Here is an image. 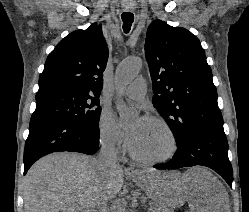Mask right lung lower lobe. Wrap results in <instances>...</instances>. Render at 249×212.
<instances>
[{
	"label": "right lung lower lobe",
	"mask_w": 249,
	"mask_h": 212,
	"mask_svg": "<svg viewBox=\"0 0 249 212\" xmlns=\"http://www.w3.org/2000/svg\"><path fill=\"white\" fill-rule=\"evenodd\" d=\"M99 127L67 120H46L30 124L24 149V174L42 156L52 152L94 154L99 148Z\"/></svg>",
	"instance_id": "1"
}]
</instances>
